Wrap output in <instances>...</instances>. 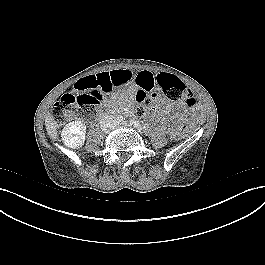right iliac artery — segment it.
I'll list each match as a JSON object with an SVG mask.
<instances>
[{"label": "right iliac artery", "mask_w": 265, "mask_h": 265, "mask_svg": "<svg viewBox=\"0 0 265 265\" xmlns=\"http://www.w3.org/2000/svg\"><path fill=\"white\" fill-rule=\"evenodd\" d=\"M123 116H121V115H119L118 117H117V120H118V122H121V121H123Z\"/></svg>", "instance_id": "1"}]
</instances>
